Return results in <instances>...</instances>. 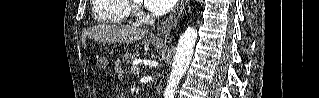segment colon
Instances as JSON below:
<instances>
[{
  "instance_id": "colon-1",
  "label": "colon",
  "mask_w": 319,
  "mask_h": 98,
  "mask_svg": "<svg viewBox=\"0 0 319 98\" xmlns=\"http://www.w3.org/2000/svg\"><path fill=\"white\" fill-rule=\"evenodd\" d=\"M94 59L99 68L105 69L107 67V61L102 55L95 54Z\"/></svg>"
}]
</instances>
